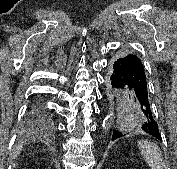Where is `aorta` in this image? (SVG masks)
Segmentation results:
<instances>
[{"mask_svg":"<svg viewBox=\"0 0 177 169\" xmlns=\"http://www.w3.org/2000/svg\"><path fill=\"white\" fill-rule=\"evenodd\" d=\"M113 117H114L113 111H112V109H110L109 114L107 116V121L109 122V125H108L109 127L111 126V122H112Z\"/></svg>","mask_w":177,"mask_h":169,"instance_id":"762f6f07","label":"aorta"}]
</instances>
